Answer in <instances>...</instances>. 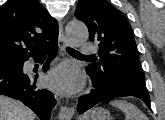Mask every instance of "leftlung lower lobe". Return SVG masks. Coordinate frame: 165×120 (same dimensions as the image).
<instances>
[{
  "instance_id": "left-lung-lower-lobe-1",
  "label": "left lung lower lobe",
  "mask_w": 165,
  "mask_h": 120,
  "mask_svg": "<svg viewBox=\"0 0 165 120\" xmlns=\"http://www.w3.org/2000/svg\"><path fill=\"white\" fill-rule=\"evenodd\" d=\"M134 96L141 99L146 106L151 109L148 92L140 90H116V89H93L89 94L79 98L77 111L82 114L97 103L117 97Z\"/></svg>"
}]
</instances>
